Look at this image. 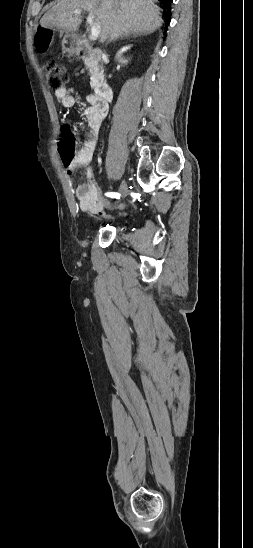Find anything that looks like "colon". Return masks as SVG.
Returning a JSON list of instances; mask_svg holds the SVG:
<instances>
[{
  "label": "colon",
  "instance_id": "1",
  "mask_svg": "<svg viewBox=\"0 0 253 548\" xmlns=\"http://www.w3.org/2000/svg\"><path fill=\"white\" fill-rule=\"evenodd\" d=\"M50 39L51 35L49 32L42 31L38 35V43L42 47L47 46ZM43 69L47 85L50 89L56 91L63 88L68 80L67 70L64 66L54 62H48L44 65ZM75 145L76 140L74 135L70 132L64 133L60 139L58 147L63 162L69 163L73 160L75 155Z\"/></svg>",
  "mask_w": 253,
  "mask_h": 548
}]
</instances>
